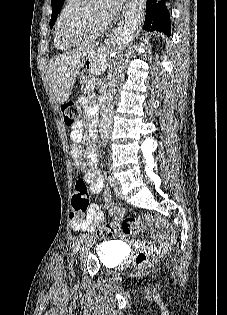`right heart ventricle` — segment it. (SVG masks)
I'll return each mask as SVG.
<instances>
[{"instance_id":"obj_1","label":"right heart ventricle","mask_w":227,"mask_h":315,"mask_svg":"<svg viewBox=\"0 0 227 315\" xmlns=\"http://www.w3.org/2000/svg\"><path fill=\"white\" fill-rule=\"evenodd\" d=\"M77 2L78 0H66L63 7L61 8L59 12V15L56 21L55 33H54V44L58 50L63 51L71 47V45L65 44L62 41L59 29H60V25L63 19Z\"/></svg>"}]
</instances>
